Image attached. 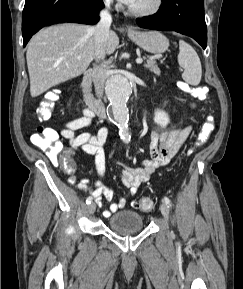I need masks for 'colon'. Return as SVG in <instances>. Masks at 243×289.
Masks as SVG:
<instances>
[{
  "mask_svg": "<svg viewBox=\"0 0 243 289\" xmlns=\"http://www.w3.org/2000/svg\"><path fill=\"white\" fill-rule=\"evenodd\" d=\"M184 90L190 93L193 97L209 103V91L206 86L190 87L184 85ZM58 100V93L56 91L46 94L43 101L36 110L37 119L40 121L48 120L54 110L56 101ZM214 130V119L208 116L201 125L200 131L197 135L194 148L202 146L210 137ZM32 143L44 150L51 162L59 165L66 173H72L75 170V162L69 151L63 150V146L59 141L58 133L51 128L39 127L35 133L31 135ZM135 208L148 212L154 208L153 202L148 198H142L133 203Z\"/></svg>",
  "mask_w": 243,
  "mask_h": 289,
  "instance_id": "obj_1",
  "label": "colon"
}]
</instances>
